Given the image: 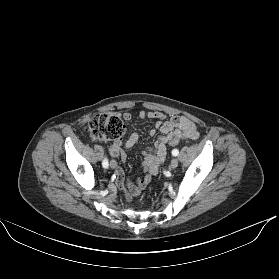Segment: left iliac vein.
<instances>
[{
  "instance_id": "1",
  "label": "left iliac vein",
  "mask_w": 279,
  "mask_h": 279,
  "mask_svg": "<svg viewBox=\"0 0 279 279\" xmlns=\"http://www.w3.org/2000/svg\"><path fill=\"white\" fill-rule=\"evenodd\" d=\"M178 166V160L173 158L170 162V169H175Z\"/></svg>"
}]
</instances>
